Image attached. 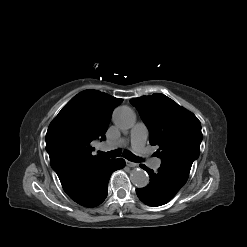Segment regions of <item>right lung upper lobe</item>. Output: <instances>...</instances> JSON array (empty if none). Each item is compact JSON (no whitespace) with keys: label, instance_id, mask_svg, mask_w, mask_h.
Masks as SVG:
<instances>
[{"label":"right lung upper lobe","instance_id":"right-lung-upper-lobe-1","mask_svg":"<svg viewBox=\"0 0 247 247\" xmlns=\"http://www.w3.org/2000/svg\"><path fill=\"white\" fill-rule=\"evenodd\" d=\"M122 99L97 90L73 97L49 125L46 150L60 182L99 166L107 158L93 156L91 141L104 140L113 109Z\"/></svg>","mask_w":247,"mask_h":247}]
</instances>
